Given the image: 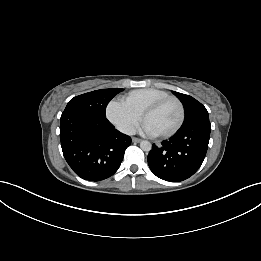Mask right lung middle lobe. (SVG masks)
<instances>
[{"label":"right lung middle lobe","mask_w":261,"mask_h":261,"mask_svg":"<svg viewBox=\"0 0 261 261\" xmlns=\"http://www.w3.org/2000/svg\"><path fill=\"white\" fill-rule=\"evenodd\" d=\"M121 91L123 89H100L76 96L68 102L64 112L78 111L88 115L106 117L107 104Z\"/></svg>","instance_id":"obj_1"}]
</instances>
